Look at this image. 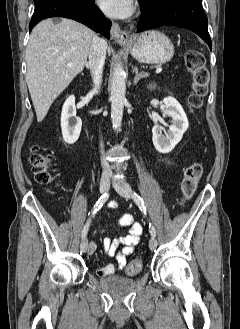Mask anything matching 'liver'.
<instances>
[{"instance_id":"1","label":"liver","mask_w":240,"mask_h":329,"mask_svg":"<svg viewBox=\"0 0 240 329\" xmlns=\"http://www.w3.org/2000/svg\"><path fill=\"white\" fill-rule=\"evenodd\" d=\"M94 37L92 30L69 19L59 23L47 19L32 30L26 48V82L38 122L87 65Z\"/></svg>"}]
</instances>
